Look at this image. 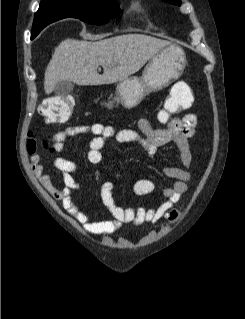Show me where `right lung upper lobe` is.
Here are the masks:
<instances>
[{
    "instance_id": "cb5924a9",
    "label": "right lung upper lobe",
    "mask_w": 245,
    "mask_h": 319,
    "mask_svg": "<svg viewBox=\"0 0 245 319\" xmlns=\"http://www.w3.org/2000/svg\"><path fill=\"white\" fill-rule=\"evenodd\" d=\"M51 1H61V0H41L39 10L35 14L34 20L40 27L33 25L32 36H36L46 25L58 20L53 13V5ZM43 27V28H42Z\"/></svg>"
}]
</instances>
